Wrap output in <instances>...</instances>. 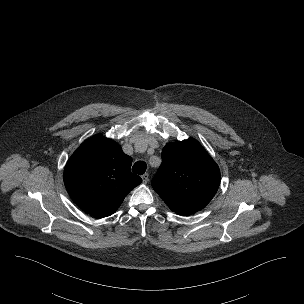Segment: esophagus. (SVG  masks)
I'll return each mask as SVG.
<instances>
[{
	"instance_id": "esophagus-1",
	"label": "esophagus",
	"mask_w": 304,
	"mask_h": 304,
	"mask_svg": "<svg viewBox=\"0 0 304 304\" xmlns=\"http://www.w3.org/2000/svg\"><path fill=\"white\" fill-rule=\"evenodd\" d=\"M142 180L144 184H147L149 181V174L145 173L144 175H142Z\"/></svg>"
}]
</instances>
